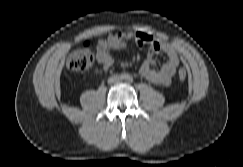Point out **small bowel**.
<instances>
[{
    "label": "small bowel",
    "instance_id": "c3829d8e",
    "mask_svg": "<svg viewBox=\"0 0 243 167\" xmlns=\"http://www.w3.org/2000/svg\"><path fill=\"white\" fill-rule=\"evenodd\" d=\"M129 40L148 48V57L140 67V74L154 84L169 86L179 68L177 50L172 44L159 40L145 31L125 30L116 34L109 33L101 40L97 46V61L102 69L109 70L112 67L113 58L110 52L124 49ZM159 52L166 55L167 61L160 68H154L153 56Z\"/></svg>",
    "mask_w": 243,
    "mask_h": 167
}]
</instances>
